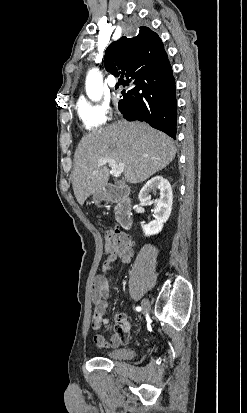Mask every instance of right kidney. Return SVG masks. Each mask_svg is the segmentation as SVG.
<instances>
[{
	"label": "right kidney",
	"instance_id": "obj_1",
	"mask_svg": "<svg viewBox=\"0 0 247 413\" xmlns=\"http://www.w3.org/2000/svg\"><path fill=\"white\" fill-rule=\"evenodd\" d=\"M160 190L158 198L155 200H151L148 192L150 190ZM138 198L140 202H144V204H153L154 202V209L153 213L155 215V221H151L149 225H142V229L146 235H157L163 229L164 223L168 221L171 211H172V188L169 180L167 178H163V176H153L150 180H147L146 184L142 186Z\"/></svg>",
	"mask_w": 247,
	"mask_h": 413
}]
</instances>
